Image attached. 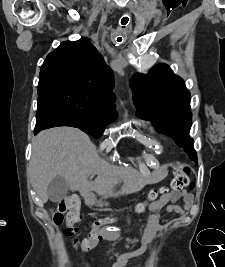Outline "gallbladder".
<instances>
[{
	"instance_id": "bac80fb5",
	"label": "gallbladder",
	"mask_w": 225,
	"mask_h": 267,
	"mask_svg": "<svg viewBox=\"0 0 225 267\" xmlns=\"http://www.w3.org/2000/svg\"><path fill=\"white\" fill-rule=\"evenodd\" d=\"M69 190L68 181L64 177L56 176L48 185V198L52 202H59Z\"/></svg>"
}]
</instances>
